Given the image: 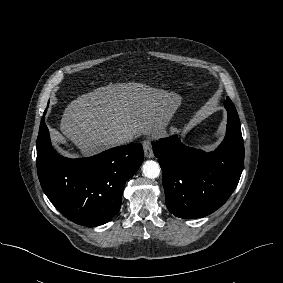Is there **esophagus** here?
<instances>
[{
  "mask_svg": "<svg viewBox=\"0 0 283 283\" xmlns=\"http://www.w3.org/2000/svg\"><path fill=\"white\" fill-rule=\"evenodd\" d=\"M143 150H144V155L146 158H153L154 157V153L152 150V145L150 140H144L143 143Z\"/></svg>",
  "mask_w": 283,
  "mask_h": 283,
  "instance_id": "esophagus-1",
  "label": "esophagus"
}]
</instances>
